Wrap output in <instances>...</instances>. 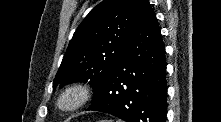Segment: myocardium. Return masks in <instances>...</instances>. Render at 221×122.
<instances>
[{
  "label": "myocardium",
  "instance_id": "f54148a6",
  "mask_svg": "<svg viewBox=\"0 0 221 122\" xmlns=\"http://www.w3.org/2000/svg\"><path fill=\"white\" fill-rule=\"evenodd\" d=\"M91 98L90 88L81 82H75L64 87L55 100L59 112L72 113L85 106Z\"/></svg>",
  "mask_w": 221,
  "mask_h": 122
}]
</instances>
